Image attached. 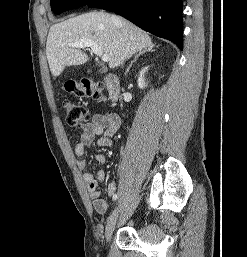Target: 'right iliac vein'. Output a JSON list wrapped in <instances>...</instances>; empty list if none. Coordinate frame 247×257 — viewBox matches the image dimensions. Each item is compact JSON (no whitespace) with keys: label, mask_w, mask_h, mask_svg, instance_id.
<instances>
[{"label":"right iliac vein","mask_w":247,"mask_h":257,"mask_svg":"<svg viewBox=\"0 0 247 257\" xmlns=\"http://www.w3.org/2000/svg\"><path fill=\"white\" fill-rule=\"evenodd\" d=\"M120 207H121V202L118 201L113 213L111 214L106 229H105V239L107 242L110 241L111 236L114 232L115 226H116V222L119 216V212H120Z\"/></svg>","instance_id":"1"}]
</instances>
